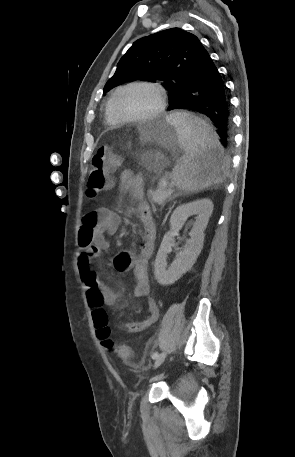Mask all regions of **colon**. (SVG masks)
<instances>
[{
  "label": "colon",
  "mask_w": 295,
  "mask_h": 457,
  "mask_svg": "<svg viewBox=\"0 0 295 457\" xmlns=\"http://www.w3.org/2000/svg\"><path fill=\"white\" fill-rule=\"evenodd\" d=\"M122 161L110 146H102L92 158V169L87 183V195L95 198L97 195L112 185L111 174L118 168ZM92 317L98 338L102 341V349L108 350L110 355H115L116 360H128L131 357V349L121 345L120 341L108 339L110 328L107 312L101 307L102 303L95 302Z\"/></svg>",
  "instance_id": "obj_1"
}]
</instances>
